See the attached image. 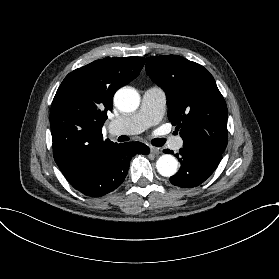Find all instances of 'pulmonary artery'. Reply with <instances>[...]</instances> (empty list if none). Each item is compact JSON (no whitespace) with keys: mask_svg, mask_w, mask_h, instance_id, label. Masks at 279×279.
<instances>
[{"mask_svg":"<svg viewBox=\"0 0 279 279\" xmlns=\"http://www.w3.org/2000/svg\"><path fill=\"white\" fill-rule=\"evenodd\" d=\"M166 93L158 85L148 88L141 100L139 111L134 114H120L114 117L111 128L114 134L120 137H134L141 131L159 122L165 112ZM178 144L181 138H177Z\"/></svg>","mask_w":279,"mask_h":279,"instance_id":"pulmonary-artery-1","label":"pulmonary artery"}]
</instances>
